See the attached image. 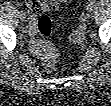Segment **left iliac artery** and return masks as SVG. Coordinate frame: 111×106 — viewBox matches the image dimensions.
<instances>
[{
	"instance_id": "44dca946",
	"label": "left iliac artery",
	"mask_w": 111,
	"mask_h": 106,
	"mask_svg": "<svg viewBox=\"0 0 111 106\" xmlns=\"http://www.w3.org/2000/svg\"><path fill=\"white\" fill-rule=\"evenodd\" d=\"M91 3L93 4V3H94V1L92 0V1H91Z\"/></svg>"
}]
</instances>
